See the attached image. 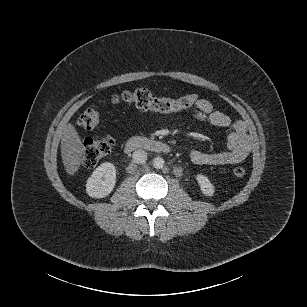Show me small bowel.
Instances as JSON below:
<instances>
[{
    "label": "small bowel",
    "mask_w": 307,
    "mask_h": 307,
    "mask_svg": "<svg viewBox=\"0 0 307 307\" xmlns=\"http://www.w3.org/2000/svg\"><path fill=\"white\" fill-rule=\"evenodd\" d=\"M194 116L202 121L229 130L227 149L218 152L191 151L190 158L197 165H227L244 161L252 149L251 138L243 121L232 120L227 114L216 110L206 99H199L194 107Z\"/></svg>",
    "instance_id": "1"
}]
</instances>
